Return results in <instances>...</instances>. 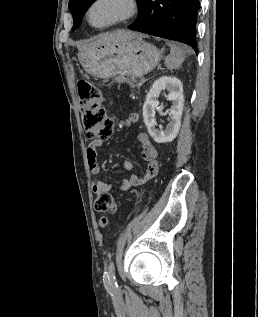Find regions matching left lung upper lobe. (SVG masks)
<instances>
[{
  "label": "left lung upper lobe",
  "instance_id": "1",
  "mask_svg": "<svg viewBox=\"0 0 258 317\" xmlns=\"http://www.w3.org/2000/svg\"><path fill=\"white\" fill-rule=\"evenodd\" d=\"M95 0H70L69 2V10L72 13V17L74 20L73 30L77 29L82 21V18L88 8ZM144 0H137L138 5L140 6ZM138 6V9H139Z\"/></svg>",
  "mask_w": 258,
  "mask_h": 317
}]
</instances>
